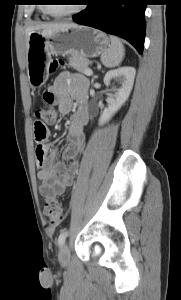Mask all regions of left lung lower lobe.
Listing matches in <instances>:
<instances>
[{"label": "left lung lower lobe", "mask_w": 181, "mask_h": 300, "mask_svg": "<svg viewBox=\"0 0 181 300\" xmlns=\"http://www.w3.org/2000/svg\"><path fill=\"white\" fill-rule=\"evenodd\" d=\"M73 21L119 36L142 54L145 39L146 0H87Z\"/></svg>", "instance_id": "obj_1"}]
</instances>
